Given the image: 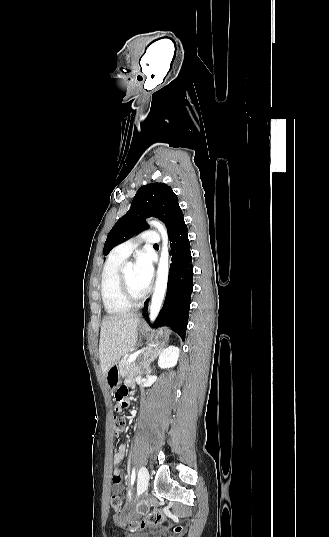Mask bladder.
<instances>
[{
    "mask_svg": "<svg viewBox=\"0 0 329 537\" xmlns=\"http://www.w3.org/2000/svg\"><path fill=\"white\" fill-rule=\"evenodd\" d=\"M151 531H137L127 535L126 537H149Z\"/></svg>",
    "mask_w": 329,
    "mask_h": 537,
    "instance_id": "bladder-1",
    "label": "bladder"
}]
</instances>
